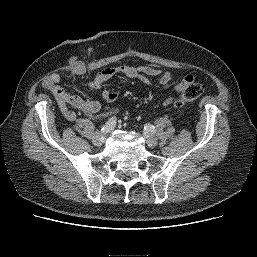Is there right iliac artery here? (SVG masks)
Returning <instances> with one entry per match:
<instances>
[{
    "label": "right iliac artery",
    "instance_id": "82829eb1",
    "mask_svg": "<svg viewBox=\"0 0 257 257\" xmlns=\"http://www.w3.org/2000/svg\"><path fill=\"white\" fill-rule=\"evenodd\" d=\"M116 124V118L112 117L109 119V121L101 128L102 133H108L110 132Z\"/></svg>",
    "mask_w": 257,
    "mask_h": 257
}]
</instances>
